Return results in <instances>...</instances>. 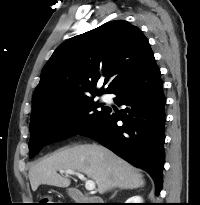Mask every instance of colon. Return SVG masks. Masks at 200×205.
<instances>
[{"label": "colon", "mask_w": 200, "mask_h": 205, "mask_svg": "<svg viewBox=\"0 0 200 205\" xmlns=\"http://www.w3.org/2000/svg\"><path fill=\"white\" fill-rule=\"evenodd\" d=\"M43 202H44V203H43L44 205H49V204H50V203H49V202H50V199L47 198V197H45V198L43 199Z\"/></svg>", "instance_id": "1"}]
</instances>
